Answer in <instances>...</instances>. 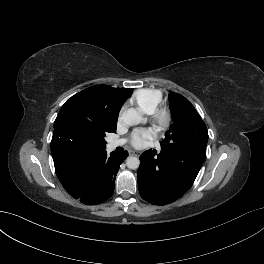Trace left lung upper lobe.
<instances>
[{
    "mask_svg": "<svg viewBox=\"0 0 264 264\" xmlns=\"http://www.w3.org/2000/svg\"><path fill=\"white\" fill-rule=\"evenodd\" d=\"M169 101L174 123L161 142V150L172 151L207 144L206 125L193 105L178 93H170Z\"/></svg>",
    "mask_w": 264,
    "mask_h": 264,
    "instance_id": "obj_1",
    "label": "left lung upper lobe"
}]
</instances>
